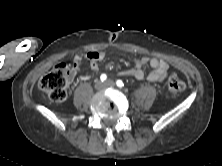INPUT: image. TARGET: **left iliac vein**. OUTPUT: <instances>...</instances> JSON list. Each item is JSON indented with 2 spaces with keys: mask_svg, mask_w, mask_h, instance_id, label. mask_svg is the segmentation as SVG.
I'll list each match as a JSON object with an SVG mask.
<instances>
[{
  "mask_svg": "<svg viewBox=\"0 0 222 166\" xmlns=\"http://www.w3.org/2000/svg\"><path fill=\"white\" fill-rule=\"evenodd\" d=\"M105 86L113 87V86H115V82L113 80L109 79L105 82Z\"/></svg>",
  "mask_w": 222,
  "mask_h": 166,
  "instance_id": "4c4485c4",
  "label": "left iliac vein"
}]
</instances>
